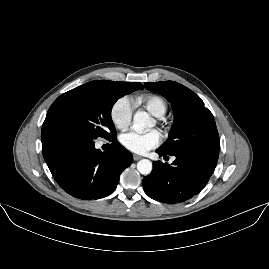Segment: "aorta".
I'll use <instances>...</instances> for the list:
<instances>
[{"mask_svg":"<svg viewBox=\"0 0 269 269\" xmlns=\"http://www.w3.org/2000/svg\"><path fill=\"white\" fill-rule=\"evenodd\" d=\"M153 127V120L145 111L137 112L133 117V129L137 133ZM152 162L149 159H141L137 163V170L142 175H149L152 171Z\"/></svg>","mask_w":269,"mask_h":269,"instance_id":"1","label":"aorta"}]
</instances>
